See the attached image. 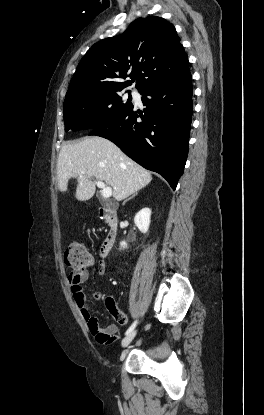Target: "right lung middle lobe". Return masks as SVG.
I'll list each match as a JSON object with an SVG mask.
<instances>
[{
    "label": "right lung middle lobe",
    "instance_id": "1",
    "mask_svg": "<svg viewBox=\"0 0 264 415\" xmlns=\"http://www.w3.org/2000/svg\"><path fill=\"white\" fill-rule=\"evenodd\" d=\"M131 94L122 101L119 92L85 94L65 99V131L94 129L102 126L133 107Z\"/></svg>",
    "mask_w": 264,
    "mask_h": 415
}]
</instances>
